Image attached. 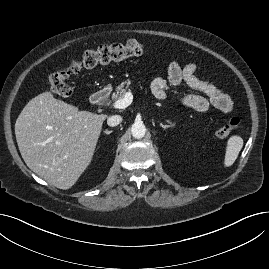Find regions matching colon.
<instances>
[{"instance_id": "5ec220e1", "label": "colon", "mask_w": 269, "mask_h": 269, "mask_svg": "<svg viewBox=\"0 0 269 269\" xmlns=\"http://www.w3.org/2000/svg\"><path fill=\"white\" fill-rule=\"evenodd\" d=\"M143 51L144 46L136 40H129L125 44L101 46L97 49L87 50L80 57L72 59L67 65L57 68L50 74V90L59 97L67 98L72 94V89L67 83L71 74L84 68H92L99 64L138 56ZM240 122V118L232 117L216 129L215 135L219 138L227 137L239 128Z\"/></svg>"}]
</instances>
